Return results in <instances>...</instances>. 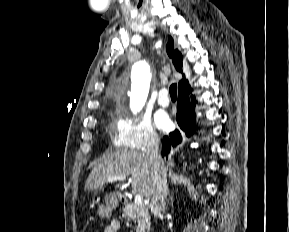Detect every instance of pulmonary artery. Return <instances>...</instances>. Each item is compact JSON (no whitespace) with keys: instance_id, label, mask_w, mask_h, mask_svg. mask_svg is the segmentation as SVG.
Instances as JSON below:
<instances>
[{"instance_id":"1","label":"pulmonary artery","mask_w":289,"mask_h":232,"mask_svg":"<svg viewBox=\"0 0 289 232\" xmlns=\"http://www.w3.org/2000/svg\"><path fill=\"white\" fill-rule=\"evenodd\" d=\"M157 101L162 107L169 106L170 100L168 98V91L165 88L159 91Z\"/></svg>"}]
</instances>
